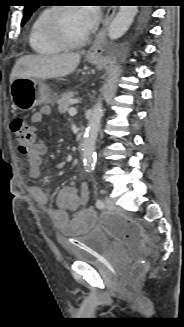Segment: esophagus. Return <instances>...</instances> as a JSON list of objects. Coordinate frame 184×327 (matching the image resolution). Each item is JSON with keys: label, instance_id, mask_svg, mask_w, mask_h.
Returning a JSON list of instances; mask_svg holds the SVG:
<instances>
[{"label": "esophagus", "instance_id": "esophagus-1", "mask_svg": "<svg viewBox=\"0 0 184 327\" xmlns=\"http://www.w3.org/2000/svg\"><path fill=\"white\" fill-rule=\"evenodd\" d=\"M115 11H116V8L108 9V12L106 13L102 27H101L100 31L98 32L96 39H95L94 43L92 44V46L87 51L88 56L102 55L106 31H107L109 23L111 22L112 18L115 15Z\"/></svg>", "mask_w": 184, "mask_h": 327}]
</instances>
